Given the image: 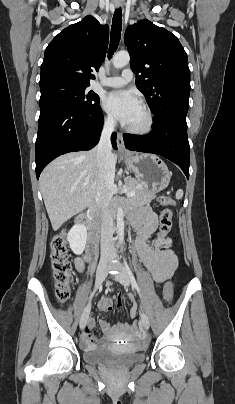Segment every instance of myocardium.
I'll use <instances>...</instances> for the list:
<instances>
[{
	"label": "myocardium",
	"instance_id": "f54148a6",
	"mask_svg": "<svg viewBox=\"0 0 235 404\" xmlns=\"http://www.w3.org/2000/svg\"><path fill=\"white\" fill-rule=\"evenodd\" d=\"M140 107L144 113L143 122L138 126H125V130L133 135L143 136L149 134L154 125V115L151 109L144 103L140 104Z\"/></svg>",
	"mask_w": 235,
	"mask_h": 404
}]
</instances>
